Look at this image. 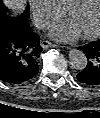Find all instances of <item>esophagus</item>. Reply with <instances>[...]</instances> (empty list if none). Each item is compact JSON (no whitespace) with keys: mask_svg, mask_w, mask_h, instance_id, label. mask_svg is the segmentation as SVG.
Here are the masks:
<instances>
[{"mask_svg":"<svg viewBox=\"0 0 100 118\" xmlns=\"http://www.w3.org/2000/svg\"><path fill=\"white\" fill-rule=\"evenodd\" d=\"M40 45L43 48H55V47H57L56 44H53V43H51V42H49L47 40H43Z\"/></svg>","mask_w":100,"mask_h":118,"instance_id":"34e87169","label":"esophagus"}]
</instances>
